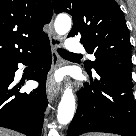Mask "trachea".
<instances>
[{
  "mask_svg": "<svg viewBox=\"0 0 136 136\" xmlns=\"http://www.w3.org/2000/svg\"><path fill=\"white\" fill-rule=\"evenodd\" d=\"M58 52L61 56H79V54H73L61 48L58 49Z\"/></svg>",
  "mask_w": 136,
  "mask_h": 136,
  "instance_id": "3493384b",
  "label": "trachea"
}]
</instances>
